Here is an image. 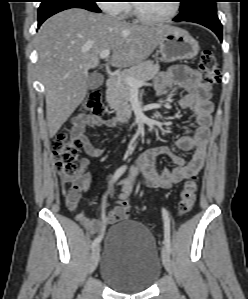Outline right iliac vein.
<instances>
[{"mask_svg": "<svg viewBox=\"0 0 248 299\" xmlns=\"http://www.w3.org/2000/svg\"><path fill=\"white\" fill-rule=\"evenodd\" d=\"M99 256H100V246L96 245L91 253L90 256V266H89V272L92 273L97 265H98V261H99Z\"/></svg>", "mask_w": 248, "mask_h": 299, "instance_id": "1", "label": "right iliac vein"}]
</instances>
